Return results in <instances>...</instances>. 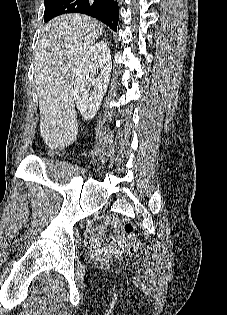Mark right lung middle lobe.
<instances>
[{
  "label": "right lung middle lobe",
  "instance_id": "right-lung-middle-lobe-1",
  "mask_svg": "<svg viewBox=\"0 0 227 315\" xmlns=\"http://www.w3.org/2000/svg\"><path fill=\"white\" fill-rule=\"evenodd\" d=\"M45 1V6L49 5L52 1L54 0H44Z\"/></svg>",
  "mask_w": 227,
  "mask_h": 315
}]
</instances>
